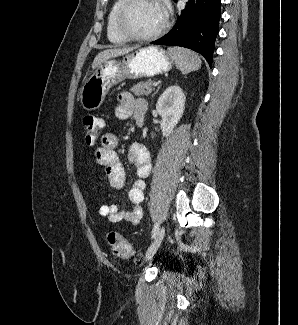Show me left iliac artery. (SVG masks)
Wrapping results in <instances>:
<instances>
[{
  "label": "left iliac artery",
  "mask_w": 298,
  "mask_h": 325,
  "mask_svg": "<svg viewBox=\"0 0 298 325\" xmlns=\"http://www.w3.org/2000/svg\"><path fill=\"white\" fill-rule=\"evenodd\" d=\"M158 229H159V224L156 223V224L154 225V227H153V230H152V238L155 237V235H156Z\"/></svg>",
  "instance_id": "left-iliac-artery-1"
}]
</instances>
